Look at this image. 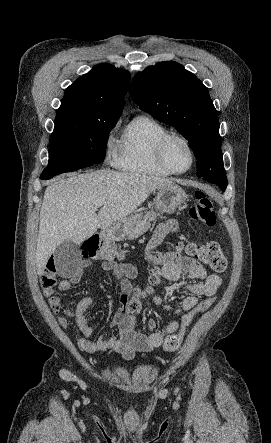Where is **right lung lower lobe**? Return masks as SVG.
<instances>
[{
  "mask_svg": "<svg viewBox=\"0 0 271 443\" xmlns=\"http://www.w3.org/2000/svg\"><path fill=\"white\" fill-rule=\"evenodd\" d=\"M71 171H75V170H69V171H59V172H55V173H52V174H48V175H42L41 174V179H43V180H47V179H50V178H52L53 176H55V175H57V174H61V173H65V172H71Z\"/></svg>",
  "mask_w": 271,
  "mask_h": 443,
  "instance_id": "1",
  "label": "right lung lower lobe"
}]
</instances>
